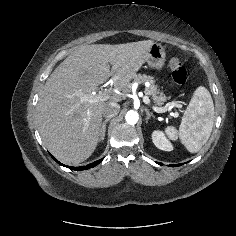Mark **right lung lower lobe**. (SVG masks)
<instances>
[{"label": "right lung lower lobe", "mask_w": 236, "mask_h": 236, "mask_svg": "<svg viewBox=\"0 0 236 236\" xmlns=\"http://www.w3.org/2000/svg\"><path fill=\"white\" fill-rule=\"evenodd\" d=\"M55 161H57L55 158H54ZM102 161V159L96 161V162H93L91 164H88L86 166H81V167H71L73 170H76V171H79V170H86V169H90V168H93L95 167L96 165H98L100 162ZM58 162V161H57ZM59 164L65 166L64 164L58 162Z\"/></svg>", "instance_id": "obj_1"}]
</instances>
